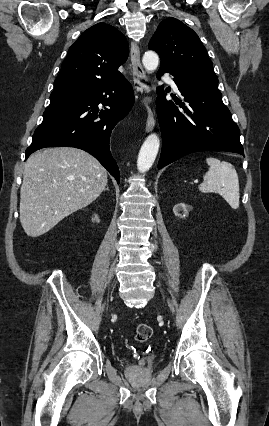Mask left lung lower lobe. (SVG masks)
I'll return each instance as SVG.
<instances>
[{
	"label": "left lung lower lobe",
	"mask_w": 269,
	"mask_h": 426,
	"mask_svg": "<svg viewBox=\"0 0 269 426\" xmlns=\"http://www.w3.org/2000/svg\"><path fill=\"white\" fill-rule=\"evenodd\" d=\"M169 72L185 103L167 101L158 87L157 114L162 132L158 168L197 151H228L244 155L239 128L223 104L218 82L201 80L172 68L160 67L157 77Z\"/></svg>",
	"instance_id": "1"
}]
</instances>
